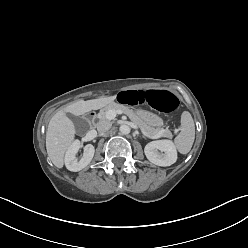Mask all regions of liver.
I'll use <instances>...</instances> for the list:
<instances>
[{"label":"liver","instance_id":"1","mask_svg":"<svg viewBox=\"0 0 248 248\" xmlns=\"http://www.w3.org/2000/svg\"><path fill=\"white\" fill-rule=\"evenodd\" d=\"M116 96L100 97L91 100H79L58 111L50 120L46 133V149L49 158L57 168L64 165V155L72 144L76 129L73 121L66 115H84L113 103Z\"/></svg>","mask_w":248,"mask_h":248}]
</instances>
